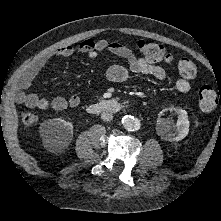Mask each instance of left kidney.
Returning <instances> with one entry per match:
<instances>
[{
  "label": "left kidney",
  "instance_id": "1",
  "mask_svg": "<svg viewBox=\"0 0 221 221\" xmlns=\"http://www.w3.org/2000/svg\"><path fill=\"white\" fill-rule=\"evenodd\" d=\"M175 111L178 115L177 123L174 124L172 120L161 118L164 111ZM156 123V130L158 135L166 141H180L184 139L189 132L190 122L188 114L185 110L175 107L163 109Z\"/></svg>",
  "mask_w": 221,
  "mask_h": 221
}]
</instances>
